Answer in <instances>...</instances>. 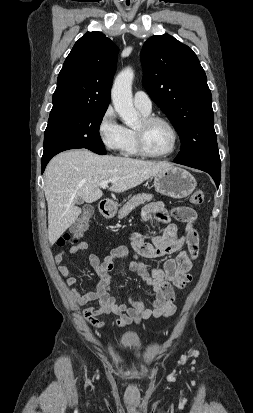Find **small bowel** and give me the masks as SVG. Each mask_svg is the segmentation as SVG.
Instances as JSON below:
<instances>
[{
  "instance_id": "obj_1",
  "label": "small bowel",
  "mask_w": 253,
  "mask_h": 413,
  "mask_svg": "<svg viewBox=\"0 0 253 413\" xmlns=\"http://www.w3.org/2000/svg\"><path fill=\"white\" fill-rule=\"evenodd\" d=\"M141 217L142 220L154 218L165 225L161 235L149 236L150 242L145 241L139 233H134L132 237L133 255L128 266L152 288L149 304L130 295L126 296V303H118L110 293L115 260L128 257L125 247L113 249L103 261L95 254L88 256V262L94 269L98 282L93 290L87 292H80L76 288L77 278L71 275L69 268L63 264L64 253L59 252L54 258L59 273L66 278V284L72 287L71 293L76 303L79 306L95 303L83 312L84 318L95 328L104 327L105 323L99 317L107 313L118 316L114 323L117 327L139 324L152 318L169 317L176 311L175 289H183L191 281L192 261L199 252V235L195 228L196 211L187 206L170 210L163 202L158 201L146 205ZM173 220L185 224L181 236H178L177 225ZM87 247L86 242H80L70 248V253L77 254ZM175 253L176 255L168 258L160 268H149L140 260L141 257L153 259Z\"/></svg>"
}]
</instances>
